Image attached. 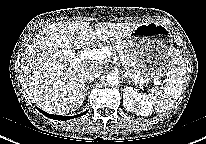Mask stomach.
I'll use <instances>...</instances> for the list:
<instances>
[{"label":"stomach","instance_id":"obj_1","mask_svg":"<svg viewBox=\"0 0 206 144\" xmlns=\"http://www.w3.org/2000/svg\"><path fill=\"white\" fill-rule=\"evenodd\" d=\"M124 43L141 73L140 80L159 79L168 74L175 54L172 35L158 22L139 24Z\"/></svg>","mask_w":206,"mask_h":144}]
</instances>
